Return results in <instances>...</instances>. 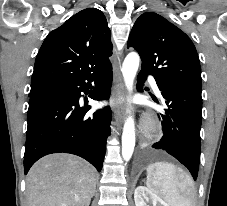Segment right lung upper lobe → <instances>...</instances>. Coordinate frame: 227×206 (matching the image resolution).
<instances>
[{
  "label": "right lung upper lobe",
  "mask_w": 227,
  "mask_h": 206,
  "mask_svg": "<svg viewBox=\"0 0 227 206\" xmlns=\"http://www.w3.org/2000/svg\"><path fill=\"white\" fill-rule=\"evenodd\" d=\"M112 47L102 11L84 9L45 38L31 82H65L99 73L111 64Z\"/></svg>",
  "instance_id": "1"
}]
</instances>
